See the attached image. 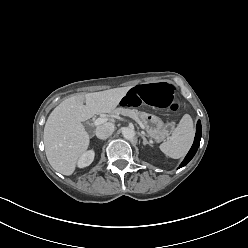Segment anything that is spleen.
<instances>
[{"instance_id":"1","label":"spleen","mask_w":248,"mask_h":248,"mask_svg":"<svg viewBox=\"0 0 248 248\" xmlns=\"http://www.w3.org/2000/svg\"><path fill=\"white\" fill-rule=\"evenodd\" d=\"M194 134L193 120L189 114H185L171 137L160 145V150L171 158L179 159L189 151Z\"/></svg>"}]
</instances>
